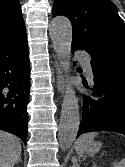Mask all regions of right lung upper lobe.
<instances>
[{
	"mask_svg": "<svg viewBox=\"0 0 125 167\" xmlns=\"http://www.w3.org/2000/svg\"><path fill=\"white\" fill-rule=\"evenodd\" d=\"M26 36L19 0H0V43Z\"/></svg>",
	"mask_w": 125,
	"mask_h": 167,
	"instance_id": "right-lung-upper-lobe-1",
	"label": "right lung upper lobe"
}]
</instances>
